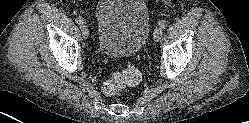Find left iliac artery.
Returning <instances> with one entry per match:
<instances>
[{"mask_svg":"<svg viewBox=\"0 0 249 123\" xmlns=\"http://www.w3.org/2000/svg\"><path fill=\"white\" fill-rule=\"evenodd\" d=\"M158 26L162 29H164L166 27V21L165 20H160L158 23Z\"/></svg>","mask_w":249,"mask_h":123,"instance_id":"left-iliac-artery-1","label":"left iliac artery"}]
</instances>
